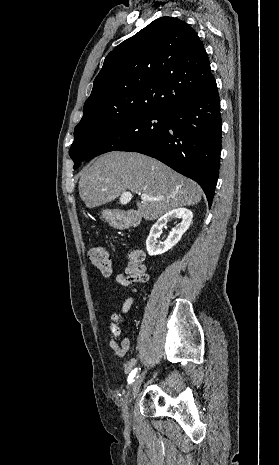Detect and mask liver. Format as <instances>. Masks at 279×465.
I'll return each instance as SVG.
<instances>
[{"instance_id":"1","label":"liver","mask_w":279,"mask_h":465,"mask_svg":"<svg viewBox=\"0 0 279 465\" xmlns=\"http://www.w3.org/2000/svg\"><path fill=\"white\" fill-rule=\"evenodd\" d=\"M134 194L160 197L137 201V214L148 221L179 207L200 202V186L162 162L135 152H109L92 160L81 172L79 195L86 207L94 208Z\"/></svg>"}]
</instances>
